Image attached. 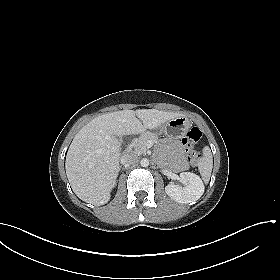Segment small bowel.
Returning <instances> with one entry per match:
<instances>
[{
    "mask_svg": "<svg viewBox=\"0 0 280 280\" xmlns=\"http://www.w3.org/2000/svg\"><path fill=\"white\" fill-rule=\"evenodd\" d=\"M182 152V149L180 148V146L178 144H174V153L175 154H180ZM173 167L176 169V170H182L186 167L185 163L184 162H177L173 165Z\"/></svg>",
    "mask_w": 280,
    "mask_h": 280,
    "instance_id": "c3829d8e",
    "label": "small bowel"
}]
</instances>
